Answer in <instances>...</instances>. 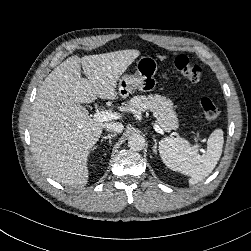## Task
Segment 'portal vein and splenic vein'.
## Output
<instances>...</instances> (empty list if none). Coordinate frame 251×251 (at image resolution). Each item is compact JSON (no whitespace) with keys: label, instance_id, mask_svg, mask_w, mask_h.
Returning a JSON list of instances; mask_svg holds the SVG:
<instances>
[{"label":"portal vein and splenic vein","instance_id":"18ae733b","mask_svg":"<svg viewBox=\"0 0 251 251\" xmlns=\"http://www.w3.org/2000/svg\"><path fill=\"white\" fill-rule=\"evenodd\" d=\"M119 115H117L116 113H113L111 110H105V111H100V112H96L94 114V119L95 120H99V121H107V120H112V119H118ZM154 129L157 133L160 134H164V130L157 124H154ZM194 140L196 143H198V139L196 137H194ZM200 151H204L203 149H200Z\"/></svg>","mask_w":251,"mask_h":251}]
</instances>
